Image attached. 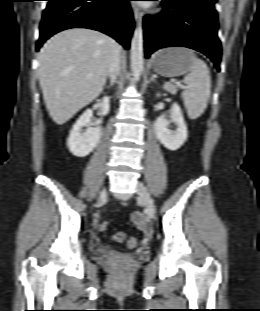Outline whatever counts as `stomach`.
Listing matches in <instances>:
<instances>
[{"instance_id":"obj_1","label":"stomach","mask_w":260,"mask_h":311,"mask_svg":"<svg viewBox=\"0 0 260 311\" xmlns=\"http://www.w3.org/2000/svg\"><path fill=\"white\" fill-rule=\"evenodd\" d=\"M195 55L183 47H169L156 52L150 59V67L164 77H176L191 71Z\"/></svg>"}]
</instances>
